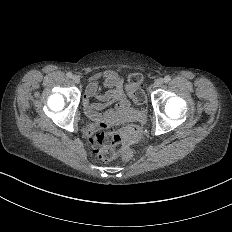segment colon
I'll return each mask as SVG.
<instances>
[{
	"mask_svg": "<svg viewBox=\"0 0 232 232\" xmlns=\"http://www.w3.org/2000/svg\"><path fill=\"white\" fill-rule=\"evenodd\" d=\"M143 71H134L130 79H125V87L128 95H132L136 101L145 97L143 86ZM142 136V129L138 125H131L127 130L104 129L97 132L92 139V147L96 151V158L100 162L113 161L117 152L124 146L132 145Z\"/></svg>",
	"mask_w": 232,
	"mask_h": 232,
	"instance_id": "colon-1",
	"label": "colon"
}]
</instances>
